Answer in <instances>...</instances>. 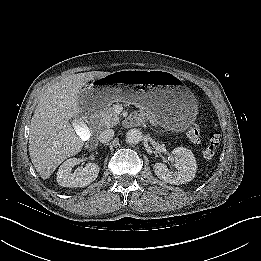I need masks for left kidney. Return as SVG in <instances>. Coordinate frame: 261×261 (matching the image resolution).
I'll use <instances>...</instances> for the list:
<instances>
[{"label": "left kidney", "instance_id": "left-kidney-1", "mask_svg": "<svg viewBox=\"0 0 261 261\" xmlns=\"http://www.w3.org/2000/svg\"><path fill=\"white\" fill-rule=\"evenodd\" d=\"M174 155V166L178 170L170 171L163 163L154 164L155 175L166 183L179 185L190 182L195 177L197 164L194 154L185 147H177L172 151Z\"/></svg>", "mask_w": 261, "mask_h": 261}]
</instances>
